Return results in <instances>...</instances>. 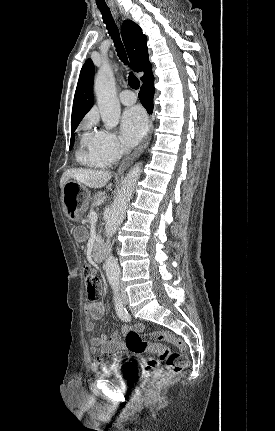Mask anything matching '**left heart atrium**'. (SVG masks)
I'll return each mask as SVG.
<instances>
[{
	"label": "left heart atrium",
	"instance_id": "39dd6f15",
	"mask_svg": "<svg viewBox=\"0 0 275 431\" xmlns=\"http://www.w3.org/2000/svg\"><path fill=\"white\" fill-rule=\"evenodd\" d=\"M147 128V117L140 107L124 111L121 117V138L125 145H135L144 135Z\"/></svg>",
	"mask_w": 275,
	"mask_h": 431
}]
</instances>
